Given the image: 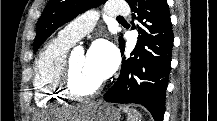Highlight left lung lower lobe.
<instances>
[{
	"instance_id": "left-lung-lower-lobe-1",
	"label": "left lung lower lobe",
	"mask_w": 217,
	"mask_h": 121,
	"mask_svg": "<svg viewBox=\"0 0 217 121\" xmlns=\"http://www.w3.org/2000/svg\"><path fill=\"white\" fill-rule=\"evenodd\" d=\"M140 36L129 57H123L120 76L104 94L114 103H137L146 107L155 121H162L169 79L173 31L166 0H127ZM125 42L120 39L124 54Z\"/></svg>"
}]
</instances>
